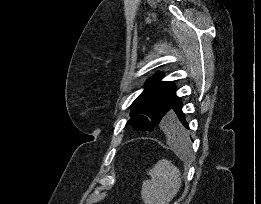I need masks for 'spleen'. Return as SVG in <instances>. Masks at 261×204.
Segmentation results:
<instances>
[{
    "label": "spleen",
    "instance_id": "spleen-1",
    "mask_svg": "<svg viewBox=\"0 0 261 204\" xmlns=\"http://www.w3.org/2000/svg\"><path fill=\"white\" fill-rule=\"evenodd\" d=\"M174 147L185 154L189 150V139L175 141ZM151 179L143 181L141 198L145 204H169L181 186L179 169L166 159L159 160L147 172Z\"/></svg>",
    "mask_w": 261,
    "mask_h": 204
}]
</instances>
